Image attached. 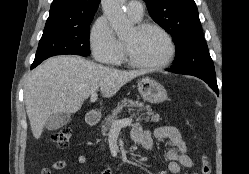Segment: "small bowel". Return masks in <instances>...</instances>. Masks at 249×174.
I'll use <instances>...</instances> for the list:
<instances>
[{
	"mask_svg": "<svg viewBox=\"0 0 249 174\" xmlns=\"http://www.w3.org/2000/svg\"><path fill=\"white\" fill-rule=\"evenodd\" d=\"M155 139L167 146L169 149L165 153L166 159L169 160L168 171L172 174H178L181 167L192 168L194 161L188 153V147L183 140L179 130L169 124L163 125L154 131ZM133 140L143 149L153 152V138L149 131L144 130L139 124H136L132 130ZM85 155H78L76 162L78 164L87 163ZM68 163L65 160L55 161L50 168H44L41 174H53V171H60L65 169ZM101 174H112V169L107 166ZM196 174V173H195Z\"/></svg>",
	"mask_w": 249,
	"mask_h": 174,
	"instance_id": "c3829d8e",
	"label": "small bowel"
}]
</instances>
